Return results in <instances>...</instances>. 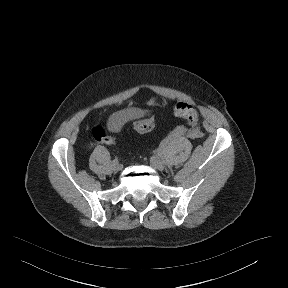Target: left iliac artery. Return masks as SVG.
I'll use <instances>...</instances> for the list:
<instances>
[{"label":"left iliac artery","instance_id":"44dca946","mask_svg":"<svg viewBox=\"0 0 288 288\" xmlns=\"http://www.w3.org/2000/svg\"><path fill=\"white\" fill-rule=\"evenodd\" d=\"M156 156L161 157V153H160V152H157V153H156Z\"/></svg>","mask_w":288,"mask_h":288}]
</instances>
